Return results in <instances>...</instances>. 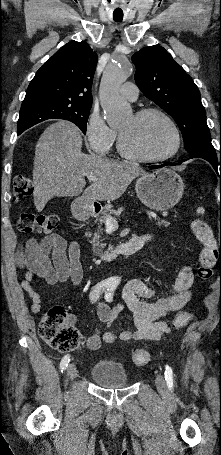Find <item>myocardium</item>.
<instances>
[{
    "mask_svg": "<svg viewBox=\"0 0 221 455\" xmlns=\"http://www.w3.org/2000/svg\"><path fill=\"white\" fill-rule=\"evenodd\" d=\"M150 115H157L161 117L171 128L173 136H174V146L170 152L165 155L157 156V157H149V156H142L138 155L132 151H130L124 141V137L120 131H118V141H117V148L119 153L129 159L131 161L141 162V163H160L167 161L174 157L180 150L181 147V135L180 131L175 123V121L163 110L158 108H144L134 113L135 118L143 119Z\"/></svg>",
    "mask_w": 221,
    "mask_h": 455,
    "instance_id": "obj_1",
    "label": "myocardium"
}]
</instances>
